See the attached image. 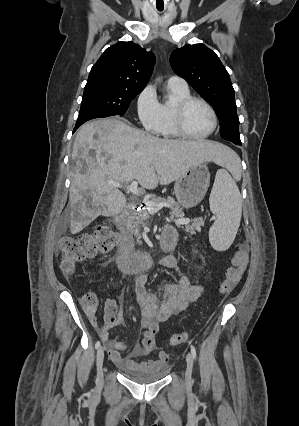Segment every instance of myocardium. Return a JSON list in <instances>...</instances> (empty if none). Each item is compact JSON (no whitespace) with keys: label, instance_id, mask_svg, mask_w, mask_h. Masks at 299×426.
Wrapping results in <instances>:
<instances>
[{"label":"myocardium","instance_id":"obj_1","mask_svg":"<svg viewBox=\"0 0 299 426\" xmlns=\"http://www.w3.org/2000/svg\"><path fill=\"white\" fill-rule=\"evenodd\" d=\"M193 103L203 104L204 106L207 107V109L210 111V113L212 115L213 126H212L211 130L206 134H202V135L193 134V133L189 132L187 127H186L185 115H186L188 108ZM174 125H175L177 132L180 134V136H183V137L189 138V139H196V140L205 139V138H208L209 136H211L216 131V129L218 127V116H217V113H216L214 107L207 100L200 98V97L190 96V97H187V98L179 101L176 104V106L174 108Z\"/></svg>","mask_w":299,"mask_h":426}]
</instances>
